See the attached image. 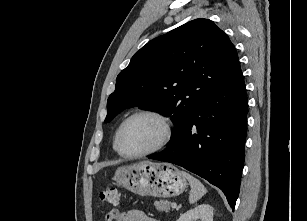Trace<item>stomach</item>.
Here are the masks:
<instances>
[{
    "label": "stomach",
    "mask_w": 307,
    "mask_h": 221,
    "mask_svg": "<svg viewBox=\"0 0 307 221\" xmlns=\"http://www.w3.org/2000/svg\"><path fill=\"white\" fill-rule=\"evenodd\" d=\"M114 180L140 196L173 197L184 192L187 179L169 163L142 161L119 167Z\"/></svg>",
    "instance_id": "0dacf381"
}]
</instances>
